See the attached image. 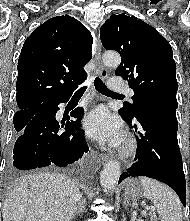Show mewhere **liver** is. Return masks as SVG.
<instances>
[{
    "label": "liver",
    "mask_w": 190,
    "mask_h": 221,
    "mask_svg": "<svg viewBox=\"0 0 190 221\" xmlns=\"http://www.w3.org/2000/svg\"><path fill=\"white\" fill-rule=\"evenodd\" d=\"M77 183L56 173L22 178L3 203V221H70L79 200Z\"/></svg>",
    "instance_id": "liver-1"
}]
</instances>
